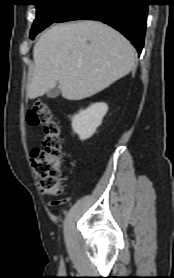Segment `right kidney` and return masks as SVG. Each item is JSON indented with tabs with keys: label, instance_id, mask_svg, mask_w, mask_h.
Listing matches in <instances>:
<instances>
[{
	"label": "right kidney",
	"instance_id": "obj_1",
	"mask_svg": "<svg viewBox=\"0 0 174 278\" xmlns=\"http://www.w3.org/2000/svg\"><path fill=\"white\" fill-rule=\"evenodd\" d=\"M107 111L108 106L103 102L94 103L86 110H81L72 118V129L74 133L79 136L80 140L90 138L102 123V119Z\"/></svg>",
	"mask_w": 174,
	"mask_h": 278
}]
</instances>
